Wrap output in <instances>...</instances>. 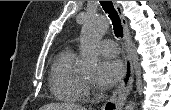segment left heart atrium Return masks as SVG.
Instances as JSON below:
<instances>
[{
	"label": "left heart atrium",
	"instance_id": "obj_1",
	"mask_svg": "<svg viewBox=\"0 0 171 110\" xmlns=\"http://www.w3.org/2000/svg\"><path fill=\"white\" fill-rule=\"evenodd\" d=\"M124 72V64L119 59L104 60L99 65L96 82L105 88L112 87L122 78Z\"/></svg>",
	"mask_w": 171,
	"mask_h": 110
}]
</instances>
